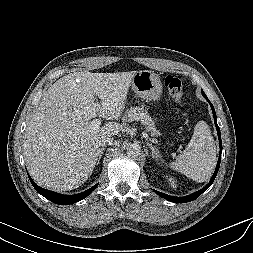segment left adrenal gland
I'll return each instance as SVG.
<instances>
[{"mask_svg":"<svg viewBox=\"0 0 253 253\" xmlns=\"http://www.w3.org/2000/svg\"><path fill=\"white\" fill-rule=\"evenodd\" d=\"M147 146L152 150V157L153 158H161L160 152L156 147H154L150 143H147Z\"/></svg>","mask_w":253,"mask_h":253,"instance_id":"a2214340","label":"left adrenal gland"}]
</instances>
